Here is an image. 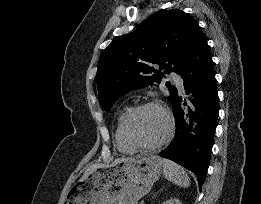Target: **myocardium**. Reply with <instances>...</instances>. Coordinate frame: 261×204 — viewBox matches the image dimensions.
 Here are the masks:
<instances>
[{
	"label": "myocardium",
	"mask_w": 261,
	"mask_h": 204,
	"mask_svg": "<svg viewBox=\"0 0 261 204\" xmlns=\"http://www.w3.org/2000/svg\"><path fill=\"white\" fill-rule=\"evenodd\" d=\"M146 108H155L162 113L166 121V130L163 136L158 141L151 144H140L134 141L129 135L128 125L130 120L136 113ZM173 130H174V120L171 112L166 106H164L163 104L157 101H145L131 107L125 114L121 123V133L124 141L133 149L140 150V151H149L161 147L170 139Z\"/></svg>",
	"instance_id": "f54148a6"
}]
</instances>
